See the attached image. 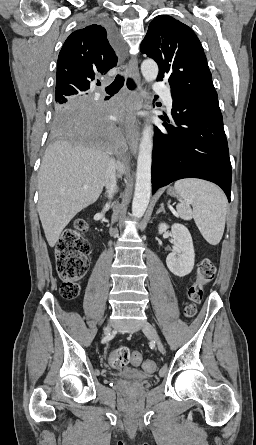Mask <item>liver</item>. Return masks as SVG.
Masks as SVG:
<instances>
[{"label": "liver", "instance_id": "1", "mask_svg": "<svg viewBox=\"0 0 256 445\" xmlns=\"http://www.w3.org/2000/svg\"><path fill=\"white\" fill-rule=\"evenodd\" d=\"M108 160L99 147L83 142L58 140L49 145L38 175V213L50 247L73 217L99 198ZM117 168L124 174L123 163Z\"/></svg>", "mask_w": 256, "mask_h": 445}]
</instances>
